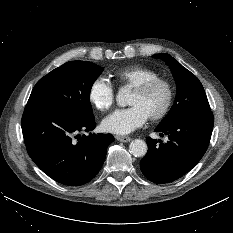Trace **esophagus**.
<instances>
[{"label":"esophagus","mask_w":233,"mask_h":233,"mask_svg":"<svg viewBox=\"0 0 233 233\" xmlns=\"http://www.w3.org/2000/svg\"><path fill=\"white\" fill-rule=\"evenodd\" d=\"M115 138L120 141V142H130L131 141V138L128 137V136H115Z\"/></svg>","instance_id":"34e87169"}]
</instances>
